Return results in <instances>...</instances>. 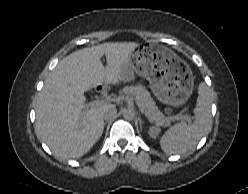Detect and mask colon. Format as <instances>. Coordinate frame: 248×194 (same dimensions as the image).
<instances>
[{
    "label": "colon",
    "instance_id": "obj_1",
    "mask_svg": "<svg viewBox=\"0 0 248 194\" xmlns=\"http://www.w3.org/2000/svg\"><path fill=\"white\" fill-rule=\"evenodd\" d=\"M166 110L168 111L169 110V107H167Z\"/></svg>",
    "mask_w": 248,
    "mask_h": 194
}]
</instances>
